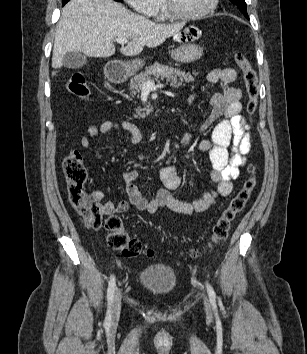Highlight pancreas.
Segmentation results:
<instances>
[{
  "mask_svg": "<svg viewBox=\"0 0 307 354\" xmlns=\"http://www.w3.org/2000/svg\"><path fill=\"white\" fill-rule=\"evenodd\" d=\"M193 75H198L197 72L186 73L184 71H180L177 68L169 67L167 65H162L160 63H155L149 67H146L145 71L135 75L133 79L130 80V90L131 96L138 95V93L142 89L143 83L146 81L153 80H165L166 83H170L172 87H179L183 84V82L193 81ZM139 97V95H138ZM142 111H146V114L149 113L148 109H141L138 107L136 109V114H134V118H143L145 113H141Z\"/></svg>",
  "mask_w": 307,
  "mask_h": 354,
  "instance_id": "pancreas-1",
  "label": "pancreas"
}]
</instances>
